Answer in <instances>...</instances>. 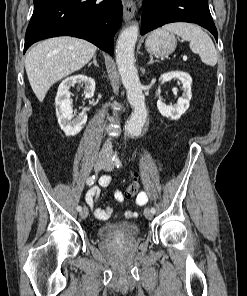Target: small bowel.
Here are the masks:
<instances>
[{
    "instance_id": "c3829d8e",
    "label": "small bowel",
    "mask_w": 247,
    "mask_h": 296,
    "mask_svg": "<svg viewBox=\"0 0 247 296\" xmlns=\"http://www.w3.org/2000/svg\"><path fill=\"white\" fill-rule=\"evenodd\" d=\"M110 183H111V177L110 176H103L100 179L99 184L101 187L105 188ZM100 191H101L100 187H98V186H94V187L90 188L86 193L85 201L96 218H98L99 220H102V221H107L114 215V211L111 207H106L105 209H101L98 207V198L100 195ZM114 198L118 202H123L125 199V196L121 190H116L114 192ZM147 201H148L147 194L144 192H140L135 199V204L137 206H142V205L146 204ZM125 215L127 218H134L137 216V213L132 212V211H127Z\"/></svg>"
}]
</instances>
